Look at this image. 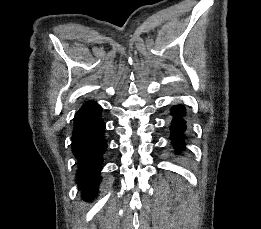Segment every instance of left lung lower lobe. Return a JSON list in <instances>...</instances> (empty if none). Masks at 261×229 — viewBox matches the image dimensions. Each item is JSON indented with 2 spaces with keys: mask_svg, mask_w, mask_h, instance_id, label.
<instances>
[{
  "mask_svg": "<svg viewBox=\"0 0 261 229\" xmlns=\"http://www.w3.org/2000/svg\"><path fill=\"white\" fill-rule=\"evenodd\" d=\"M171 115L173 116L171 122V139L175 146L176 153L181 154L185 150V134L186 120L183 118L186 115V109L183 105H176L172 107Z\"/></svg>",
  "mask_w": 261,
  "mask_h": 229,
  "instance_id": "1",
  "label": "left lung lower lobe"
}]
</instances>
